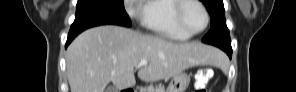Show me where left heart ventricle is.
Instances as JSON below:
<instances>
[{"instance_id": "obj_1", "label": "left heart ventricle", "mask_w": 296, "mask_h": 92, "mask_svg": "<svg viewBox=\"0 0 296 92\" xmlns=\"http://www.w3.org/2000/svg\"><path fill=\"white\" fill-rule=\"evenodd\" d=\"M183 20L186 27L192 31H199L205 25V15L200 6L190 3L183 12Z\"/></svg>"}]
</instances>
